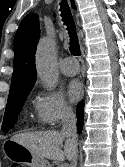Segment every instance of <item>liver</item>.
I'll return each mask as SVG.
<instances>
[{"label":"liver","mask_w":125,"mask_h":167,"mask_svg":"<svg viewBox=\"0 0 125 167\" xmlns=\"http://www.w3.org/2000/svg\"><path fill=\"white\" fill-rule=\"evenodd\" d=\"M12 140L43 158L62 162L65 159L71 160L73 156V142L58 131L24 132L15 135ZM63 142L64 151L61 149Z\"/></svg>","instance_id":"obj_1"}]
</instances>
